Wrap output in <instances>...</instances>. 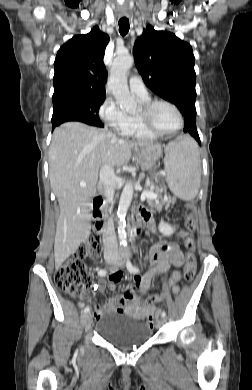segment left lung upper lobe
I'll return each mask as SVG.
<instances>
[{"instance_id":"left-lung-upper-lobe-1","label":"left lung upper lobe","mask_w":252,"mask_h":390,"mask_svg":"<svg viewBox=\"0 0 252 390\" xmlns=\"http://www.w3.org/2000/svg\"><path fill=\"white\" fill-rule=\"evenodd\" d=\"M133 54L145 84L183 114L196 115L195 57L190 44L151 25L137 38Z\"/></svg>"}]
</instances>
